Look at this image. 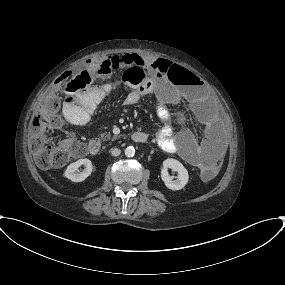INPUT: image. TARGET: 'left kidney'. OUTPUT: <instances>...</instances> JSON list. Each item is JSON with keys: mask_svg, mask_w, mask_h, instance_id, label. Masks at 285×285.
<instances>
[{"mask_svg": "<svg viewBox=\"0 0 285 285\" xmlns=\"http://www.w3.org/2000/svg\"><path fill=\"white\" fill-rule=\"evenodd\" d=\"M168 168L177 172V179L172 180L168 174ZM161 178L165 183L166 187L171 190H180L182 189L189 180V174L187 169L180 163L178 160L173 158H168L163 162V168L161 170Z\"/></svg>", "mask_w": 285, "mask_h": 285, "instance_id": "1", "label": "left kidney"}]
</instances>
